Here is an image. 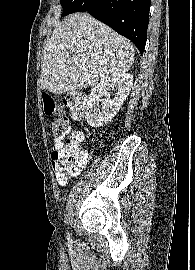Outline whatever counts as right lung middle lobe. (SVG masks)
Wrapping results in <instances>:
<instances>
[{"mask_svg": "<svg viewBox=\"0 0 195 270\" xmlns=\"http://www.w3.org/2000/svg\"><path fill=\"white\" fill-rule=\"evenodd\" d=\"M79 0H60L61 6L63 7L62 16H66L74 12V8Z\"/></svg>", "mask_w": 195, "mask_h": 270, "instance_id": "dd1d6c3e", "label": "right lung middle lobe"}]
</instances>
